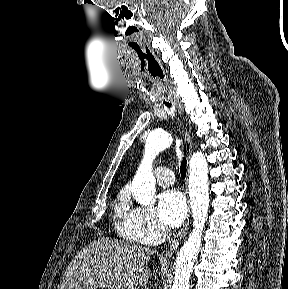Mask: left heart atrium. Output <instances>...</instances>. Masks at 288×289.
<instances>
[{
    "label": "left heart atrium",
    "mask_w": 288,
    "mask_h": 289,
    "mask_svg": "<svg viewBox=\"0 0 288 289\" xmlns=\"http://www.w3.org/2000/svg\"><path fill=\"white\" fill-rule=\"evenodd\" d=\"M186 211V200L179 190L169 189L159 195L157 212L164 224L178 226L185 218Z\"/></svg>",
    "instance_id": "1"
}]
</instances>
